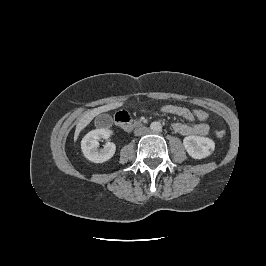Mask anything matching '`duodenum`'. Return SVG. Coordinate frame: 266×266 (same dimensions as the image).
Segmentation results:
<instances>
[{
	"instance_id": "1",
	"label": "duodenum",
	"mask_w": 266,
	"mask_h": 266,
	"mask_svg": "<svg viewBox=\"0 0 266 266\" xmlns=\"http://www.w3.org/2000/svg\"><path fill=\"white\" fill-rule=\"evenodd\" d=\"M116 125L124 131H131L141 125L138 121L131 120L128 116H118L115 118Z\"/></svg>"
}]
</instances>
